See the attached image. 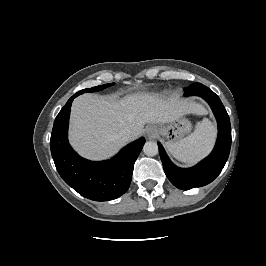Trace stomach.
Masks as SVG:
<instances>
[{"mask_svg": "<svg viewBox=\"0 0 266 266\" xmlns=\"http://www.w3.org/2000/svg\"><path fill=\"white\" fill-rule=\"evenodd\" d=\"M192 125L188 119L183 116L177 117L165 125L158 126V133L167 140L176 142L191 131Z\"/></svg>", "mask_w": 266, "mask_h": 266, "instance_id": "0dacf381", "label": "stomach"}]
</instances>
